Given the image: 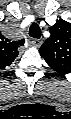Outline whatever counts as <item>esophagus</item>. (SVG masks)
<instances>
[{
  "label": "esophagus",
  "mask_w": 71,
  "mask_h": 119,
  "mask_svg": "<svg viewBox=\"0 0 71 119\" xmlns=\"http://www.w3.org/2000/svg\"><path fill=\"white\" fill-rule=\"evenodd\" d=\"M43 41L41 39H33L31 41L32 46L34 47H40L42 45Z\"/></svg>",
  "instance_id": "esophagus-1"
}]
</instances>
